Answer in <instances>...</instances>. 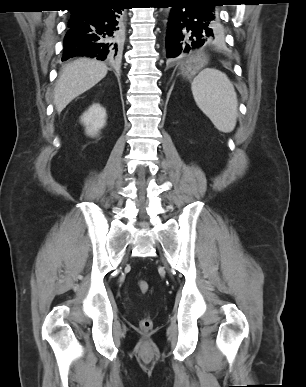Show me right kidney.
<instances>
[{
  "label": "right kidney",
  "instance_id": "1",
  "mask_svg": "<svg viewBox=\"0 0 306 387\" xmlns=\"http://www.w3.org/2000/svg\"><path fill=\"white\" fill-rule=\"evenodd\" d=\"M81 123L86 134L95 137L106 124V110L100 104H93L82 116Z\"/></svg>",
  "mask_w": 306,
  "mask_h": 387
}]
</instances>
